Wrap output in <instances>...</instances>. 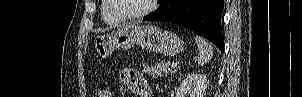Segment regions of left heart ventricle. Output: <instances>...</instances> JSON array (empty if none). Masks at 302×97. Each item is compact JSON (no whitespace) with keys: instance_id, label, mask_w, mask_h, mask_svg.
Here are the masks:
<instances>
[{"instance_id":"b2bd125f","label":"left heart ventricle","mask_w":302,"mask_h":97,"mask_svg":"<svg viewBox=\"0 0 302 97\" xmlns=\"http://www.w3.org/2000/svg\"><path fill=\"white\" fill-rule=\"evenodd\" d=\"M119 12L125 15H132L144 10L149 0H115Z\"/></svg>"}]
</instances>
